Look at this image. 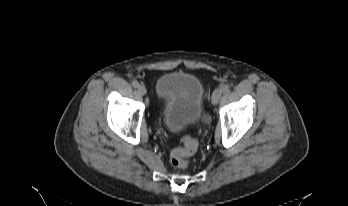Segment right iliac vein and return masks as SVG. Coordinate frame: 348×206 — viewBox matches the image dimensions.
<instances>
[{"instance_id": "obj_1", "label": "right iliac vein", "mask_w": 348, "mask_h": 206, "mask_svg": "<svg viewBox=\"0 0 348 206\" xmlns=\"http://www.w3.org/2000/svg\"><path fill=\"white\" fill-rule=\"evenodd\" d=\"M137 90H138V93L143 96L147 93L146 87L144 85H139L137 87Z\"/></svg>"}]
</instances>
